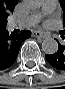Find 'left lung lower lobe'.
Segmentation results:
<instances>
[{
  "label": "left lung lower lobe",
  "instance_id": "0a47b994",
  "mask_svg": "<svg viewBox=\"0 0 65 89\" xmlns=\"http://www.w3.org/2000/svg\"><path fill=\"white\" fill-rule=\"evenodd\" d=\"M62 38L65 39L63 36ZM58 45V51L52 55H45V58L51 66L59 70H65V44L61 45L58 42Z\"/></svg>",
  "mask_w": 65,
  "mask_h": 89
}]
</instances>
